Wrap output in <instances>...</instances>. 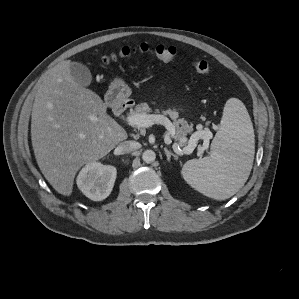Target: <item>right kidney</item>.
Listing matches in <instances>:
<instances>
[{"instance_id": "ca27d5eb", "label": "right kidney", "mask_w": 299, "mask_h": 299, "mask_svg": "<svg viewBox=\"0 0 299 299\" xmlns=\"http://www.w3.org/2000/svg\"><path fill=\"white\" fill-rule=\"evenodd\" d=\"M114 166L94 161L87 163L77 176V185L82 193L94 201L104 200L111 193L116 179Z\"/></svg>"}]
</instances>
